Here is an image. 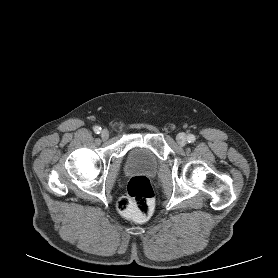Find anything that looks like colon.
Wrapping results in <instances>:
<instances>
[{
    "instance_id": "colon-1",
    "label": "colon",
    "mask_w": 278,
    "mask_h": 278,
    "mask_svg": "<svg viewBox=\"0 0 278 278\" xmlns=\"http://www.w3.org/2000/svg\"><path fill=\"white\" fill-rule=\"evenodd\" d=\"M154 191L150 180L145 176H134L130 179L127 191L117 201L118 211L135 220H148L153 211Z\"/></svg>"
}]
</instances>
